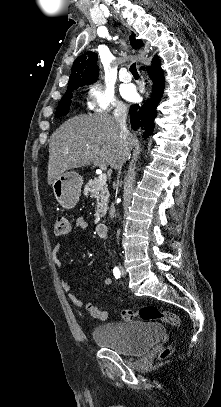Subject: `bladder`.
<instances>
[{
    "mask_svg": "<svg viewBox=\"0 0 221 407\" xmlns=\"http://www.w3.org/2000/svg\"><path fill=\"white\" fill-rule=\"evenodd\" d=\"M163 333L164 327L160 324L125 322L99 325L94 328L92 336L97 345L134 356L145 353L155 338Z\"/></svg>",
    "mask_w": 221,
    "mask_h": 407,
    "instance_id": "31cf9c89",
    "label": "bladder"
}]
</instances>
